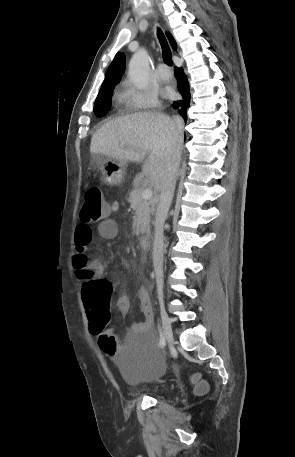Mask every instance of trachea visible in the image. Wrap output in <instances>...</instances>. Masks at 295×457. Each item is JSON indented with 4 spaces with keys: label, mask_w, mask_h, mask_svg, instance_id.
Wrapping results in <instances>:
<instances>
[{
    "label": "trachea",
    "mask_w": 295,
    "mask_h": 457,
    "mask_svg": "<svg viewBox=\"0 0 295 457\" xmlns=\"http://www.w3.org/2000/svg\"><path fill=\"white\" fill-rule=\"evenodd\" d=\"M157 35H158V38H159V41H160V44H161V47H162L163 61L168 66H172L173 65L172 54H171V50H170V47L168 45V42H167L163 32L160 29H158Z\"/></svg>",
    "instance_id": "3493384b"
}]
</instances>
